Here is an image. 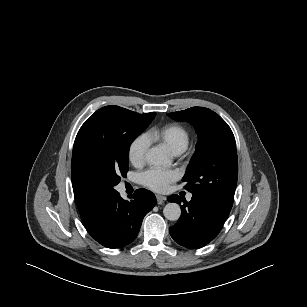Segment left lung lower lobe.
<instances>
[{"label":"left lung lower lobe","mask_w":307,"mask_h":307,"mask_svg":"<svg viewBox=\"0 0 307 307\" xmlns=\"http://www.w3.org/2000/svg\"><path fill=\"white\" fill-rule=\"evenodd\" d=\"M168 201L184 202L182 216L169 232L175 242L186 248H201L208 244L220 232L228 216L199 197L193 196L187 202L178 195H171Z\"/></svg>","instance_id":"left-lung-lower-lobe-1"}]
</instances>
